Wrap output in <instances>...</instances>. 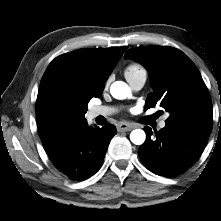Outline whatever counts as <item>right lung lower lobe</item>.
I'll list each match as a JSON object with an SVG mask.
<instances>
[{"instance_id": "obj_1", "label": "right lung lower lobe", "mask_w": 221, "mask_h": 221, "mask_svg": "<svg viewBox=\"0 0 221 221\" xmlns=\"http://www.w3.org/2000/svg\"><path fill=\"white\" fill-rule=\"evenodd\" d=\"M116 133L114 125L88 127L85 120L50 158L69 177L84 180L101 168L110 140Z\"/></svg>"}]
</instances>
